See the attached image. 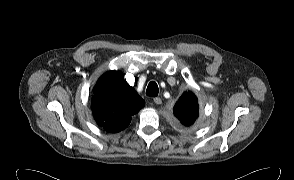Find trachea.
Listing matches in <instances>:
<instances>
[{"label":"trachea","mask_w":294,"mask_h":180,"mask_svg":"<svg viewBox=\"0 0 294 180\" xmlns=\"http://www.w3.org/2000/svg\"><path fill=\"white\" fill-rule=\"evenodd\" d=\"M146 95L155 97L158 95V85L156 82L151 81L146 89Z\"/></svg>","instance_id":"obj_1"}]
</instances>
